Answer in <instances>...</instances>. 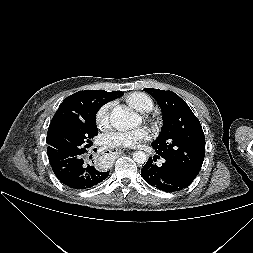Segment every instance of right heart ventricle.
<instances>
[{
    "mask_svg": "<svg viewBox=\"0 0 253 253\" xmlns=\"http://www.w3.org/2000/svg\"><path fill=\"white\" fill-rule=\"evenodd\" d=\"M126 101L136 110L148 113L154 108L153 99L146 93L133 92L127 95Z\"/></svg>",
    "mask_w": 253,
    "mask_h": 253,
    "instance_id": "obj_1",
    "label": "right heart ventricle"
}]
</instances>
